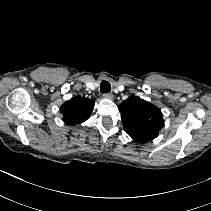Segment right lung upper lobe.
Instances as JSON below:
<instances>
[{
	"label": "right lung upper lobe",
	"mask_w": 211,
	"mask_h": 211,
	"mask_svg": "<svg viewBox=\"0 0 211 211\" xmlns=\"http://www.w3.org/2000/svg\"><path fill=\"white\" fill-rule=\"evenodd\" d=\"M94 101L81 96L73 97L65 102L60 111L67 124L76 125L86 121L93 110Z\"/></svg>",
	"instance_id": "right-lung-upper-lobe-1"
}]
</instances>
